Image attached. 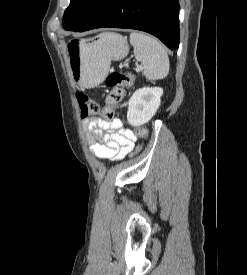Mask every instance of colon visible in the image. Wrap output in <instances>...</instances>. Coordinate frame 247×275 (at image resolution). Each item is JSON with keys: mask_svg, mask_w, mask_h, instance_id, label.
<instances>
[{"mask_svg": "<svg viewBox=\"0 0 247 275\" xmlns=\"http://www.w3.org/2000/svg\"><path fill=\"white\" fill-rule=\"evenodd\" d=\"M134 83V76L130 72L113 71L106 78V85L110 89L106 96L105 106L101 109L100 105L86 94L78 93L77 100L80 106L81 117L85 118L100 112L105 119H111L115 107L120 103L124 96V89L129 88ZM135 134L141 139L148 138V130L144 127H136ZM141 146L137 148V151Z\"/></svg>", "mask_w": 247, "mask_h": 275, "instance_id": "colon-1", "label": "colon"}]
</instances>
